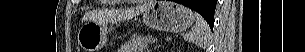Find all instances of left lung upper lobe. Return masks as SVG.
<instances>
[{
  "label": "left lung upper lobe",
  "mask_w": 305,
  "mask_h": 52,
  "mask_svg": "<svg viewBox=\"0 0 305 52\" xmlns=\"http://www.w3.org/2000/svg\"><path fill=\"white\" fill-rule=\"evenodd\" d=\"M204 19L208 22L209 25H214V12L203 14Z\"/></svg>",
  "instance_id": "obj_1"
}]
</instances>
